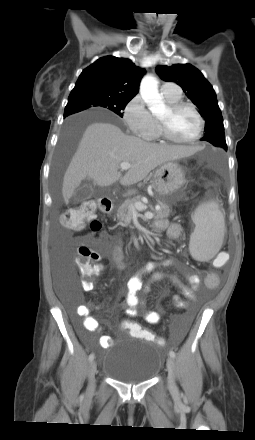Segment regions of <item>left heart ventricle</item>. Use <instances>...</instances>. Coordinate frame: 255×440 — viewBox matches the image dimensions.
<instances>
[{"label":"left heart ventricle","instance_id":"b2bd125f","mask_svg":"<svg viewBox=\"0 0 255 440\" xmlns=\"http://www.w3.org/2000/svg\"><path fill=\"white\" fill-rule=\"evenodd\" d=\"M159 119H167L172 134L181 140L192 138L199 127L196 115L189 109H183L171 115L167 108L164 113L159 116Z\"/></svg>","mask_w":255,"mask_h":440}]
</instances>
